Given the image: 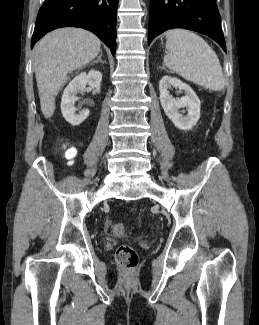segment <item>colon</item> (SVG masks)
<instances>
[{
	"label": "colon",
	"mask_w": 259,
	"mask_h": 325,
	"mask_svg": "<svg viewBox=\"0 0 259 325\" xmlns=\"http://www.w3.org/2000/svg\"><path fill=\"white\" fill-rule=\"evenodd\" d=\"M76 151L68 148L65 151V157L69 161L73 160ZM109 233L114 237H123L129 232V227L124 223H110L108 225ZM116 261L124 269L132 270L138 264V255L133 247L130 245H120L116 250Z\"/></svg>",
	"instance_id": "obj_1"
}]
</instances>
